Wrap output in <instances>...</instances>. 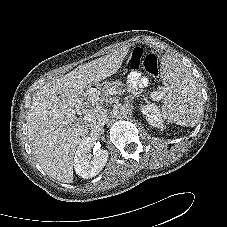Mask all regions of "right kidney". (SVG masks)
Instances as JSON below:
<instances>
[{
    "mask_svg": "<svg viewBox=\"0 0 227 227\" xmlns=\"http://www.w3.org/2000/svg\"><path fill=\"white\" fill-rule=\"evenodd\" d=\"M94 147V143L86 138L81 141L75 156H74V169L77 175L84 179L96 176L107 163L109 154L107 150L94 149L93 158L90 152Z\"/></svg>",
    "mask_w": 227,
    "mask_h": 227,
    "instance_id": "ca27d5eb",
    "label": "right kidney"
}]
</instances>
